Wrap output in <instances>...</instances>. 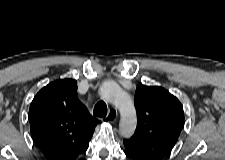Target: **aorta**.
<instances>
[{
  "instance_id": "762f6f07",
  "label": "aorta",
  "mask_w": 225,
  "mask_h": 160,
  "mask_svg": "<svg viewBox=\"0 0 225 160\" xmlns=\"http://www.w3.org/2000/svg\"><path fill=\"white\" fill-rule=\"evenodd\" d=\"M99 95L116 106L120 113V133L124 137H130L135 131L137 116L129 95L113 82L104 83L99 89Z\"/></svg>"
}]
</instances>
